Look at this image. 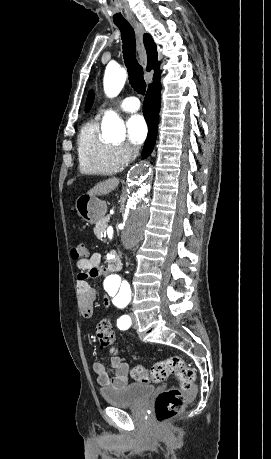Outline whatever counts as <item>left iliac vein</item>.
Wrapping results in <instances>:
<instances>
[{"instance_id":"4c4485c4","label":"left iliac vein","mask_w":271,"mask_h":459,"mask_svg":"<svg viewBox=\"0 0 271 459\" xmlns=\"http://www.w3.org/2000/svg\"><path fill=\"white\" fill-rule=\"evenodd\" d=\"M130 316H131V319H132V326L136 327V317H135V315L131 313Z\"/></svg>"}]
</instances>
